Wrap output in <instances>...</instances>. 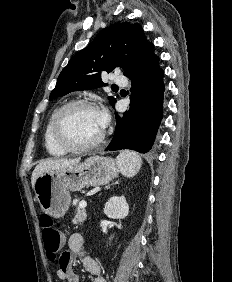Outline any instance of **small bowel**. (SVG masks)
<instances>
[{
  "label": "small bowel",
  "mask_w": 232,
  "mask_h": 282,
  "mask_svg": "<svg viewBox=\"0 0 232 282\" xmlns=\"http://www.w3.org/2000/svg\"><path fill=\"white\" fill-rule=\"evenodd\" d=\"M84 238L80 233H73L68 239L69 250L64 252L58 261L56 275L61 282H79L73 271V260L80 257L84 269L93 276V282H107L101 273L99 264L89 255L83 253Z\"/></svg>",
  "instance_id": "1"
}]
</instances>
